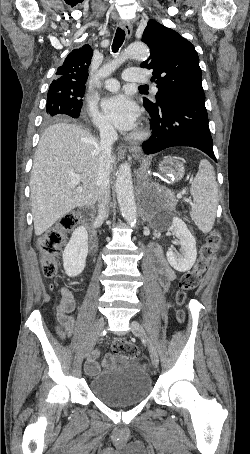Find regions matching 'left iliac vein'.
<instances>
[{"mask_svg":"<svg viewBox=\"0 0 250 454\" xmlns=\"http://www.w3.org/2000/svg\"><path fill=\"white\" fill-rule=\"evenodd\" d=\"M130 328H131L132 333L135 336L142 337L145 339V341L148 344V349H149L152 364H153L154 368H157L159 365V356H158L157 350H156L155 346L153 345V343L151 342V340L147 337L142 325L139 322L132 320L130 322Z\"/></svg>","mask_w":250,"mask_h":454,"instance_id":"4c4485c4","label":"left iliac vein"}]
</instances>
